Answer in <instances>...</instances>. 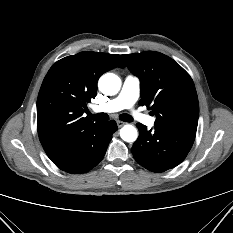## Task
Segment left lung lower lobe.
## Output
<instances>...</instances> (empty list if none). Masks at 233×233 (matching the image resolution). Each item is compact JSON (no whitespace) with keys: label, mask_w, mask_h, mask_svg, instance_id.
Returning a JSON list of instances; mask_svg holds the SVG:
<instances>
[{"label":"left lung lower lobe","mask_w":233,"mask_h":233,"mask_svg":"<svg viewBox=\"0 0 233 233\" xmlns=\"http://www.w3.org/2000/svg\"><path fill=\"white\" fill-rule=\"evenodd\" d=\"M139 137L132 147L136 161L152 172H164L180 164L190 151L195 132L155 126L152 130L138 123Z\"/></svg>","instance_id":"0a47b994"}]
</instances>
